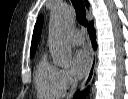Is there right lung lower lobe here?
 <instances>
[{"label": "right lung lower lobe", "mask_w": 128, "mask_h": 99, "mask_svg": "<svg viewBox=\"0 0 128 99\" xmlns=\"http://www.w3.org/2000/svg\"><path fill=\"white\" fill-rule=\"evenodd\" d=\"M88 32H89V35H90V38H91V41H92L93 48L95 49L97 45H96V32H95V29L93 27V22H91L89 24V26H88ZM87 93H88V89H86L85 91H83L81 93H77L75 95V98L76 99H85Z\"/></svg>", "instance_id": "obj_1"}]
</instances>
